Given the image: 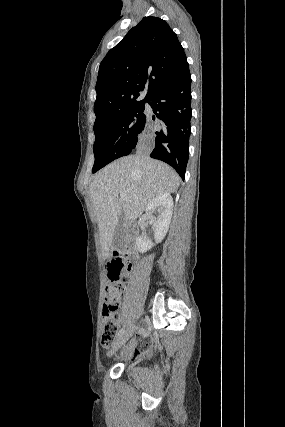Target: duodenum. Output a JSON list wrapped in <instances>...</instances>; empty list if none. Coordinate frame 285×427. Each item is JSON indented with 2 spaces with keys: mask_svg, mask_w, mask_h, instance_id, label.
Returning a JSON list of instances; mask_svg holds the SVG:
<instances>
[{
  "mask_svg": "<svg viewBox=\"0 0 285 427\" xmlns=\"http://www.w3.org/2000/svg\"><path fill=\"white\" fill-rule=\"evenodd\" d=\"M132 252H133V243L132 241H129L126 249L122 251V254L124 257L128 258V257H131Z\"/></svg>",
  "mask_w": 285,
  "mask_h": 427,
  "instance_id": "1",
  "label": "duodenum"
}]
</instances>
